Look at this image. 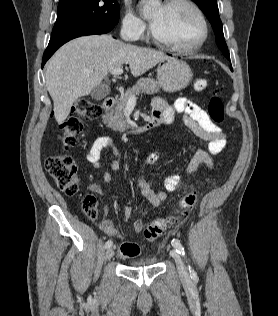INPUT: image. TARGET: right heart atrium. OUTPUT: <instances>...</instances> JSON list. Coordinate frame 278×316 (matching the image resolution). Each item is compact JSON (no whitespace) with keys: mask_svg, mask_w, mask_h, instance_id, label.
<instances>
[{"mask_svg":"<svg viewBox=\"0 0 278 316\" xmlns=\"http://www.w3.org/2000/svg\"><path fill=\"white\" fill-rule=\"evenodd\" d=\"M122 32L131 40H139L144 37L147 26L146 23L136 16L131 10H127L121 22Z\"/></svg>","mask_w":278,"mask_h":316,"instance_id":"right-heart-atrium-1","label":"right heart atrium"}]
</instances>
